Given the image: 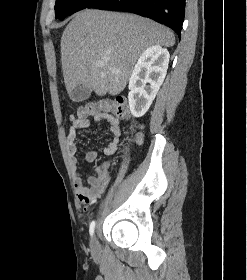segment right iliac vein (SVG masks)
I'll list each match as a JSON object with an SVG mask.
<instances>
[{
    "instance_id": "obj_1",
    "label": "right iliac vein",
    "mask_w": 247,
    "mask_h": 280,
    "mask_svg": "<svg viewBox=\"0 0 247 280\" xmlns=\"http://www.w3.org/2000/svg\"><path fill=\"white\" fill-rule=\"evenodd\" d=\"M90 248L94 254L98 252V241L95 236L91 239Z\"/></svg>"
}]
</instances>
